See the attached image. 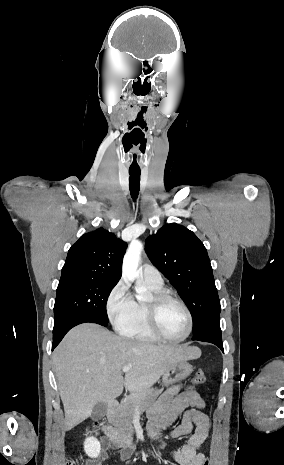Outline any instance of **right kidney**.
Returning <instances> with one entry per match:
<instances>
[{"label": "right kidney", "mask_w": 284, "mask_h": 465, "mask_svg": "<svg viewBox=\"0 0 284 465\" xmlns=\"http://www.w3.org/2000/svg\"><path fill=\"white\" fill-rule=\"evenodd\" d=\"M84 451L88 457H92V459H95V457H98L101 447L99 441L97 439H94V437H89V439H86L84 443Z\"/></svg>", "instance_id": "ca27d5eb"}]
</instances>
